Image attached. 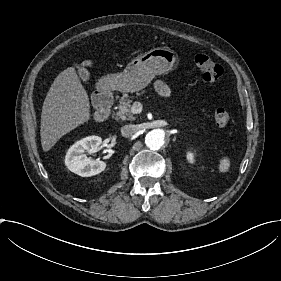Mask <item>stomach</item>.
<instances>
[{
    "instance_id": "stomach-1",
    "label": "stomach",
    "mask_w": 281,
    "mask_h": 281,
    "mask_svg": "<svg viewBox=\"0 0 281 281\" xmlns=\"http://www.w3.org/2000/svg\"><path fill=\"white\" fill-rule=\"evenodd\" d=\"M177 63L176 53L168 47L151 49L134 58L121 73L102 78L103 89L136 92L145 88L156 75L167 74Z\"/></svg>"
}]
</instances>
